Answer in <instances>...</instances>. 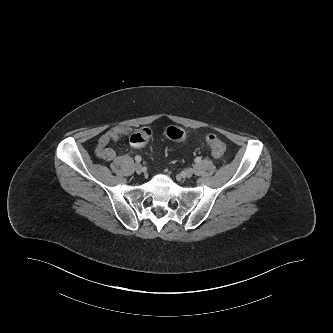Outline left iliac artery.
I'll use <instances>...</instances> for the list:
<instances>
[{"label":"left iliac artery","mask_w":333,"mask_h":333,"mask_svg":"<svg viewBox=\"0 0 333 333\" xmlns=\"http://www.w3.org/2000/svg\"><path fill=\"white\" fill-rule=\"evenodd\" d=\"M195 162H196V163L201 162V158H200V157H196V158H195Z\"/></svg>","instance_id":"obj_1"}]
</instances>
